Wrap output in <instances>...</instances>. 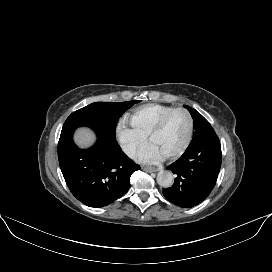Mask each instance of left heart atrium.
I'll return each mask as SVG.
<instances>
[{"mask_svg":"<svg viewBox=\"0 0 272 272\" xmlns=\"http://www.w3.org/2000/svg\"><path fill=\"white\" fill-rule=\"evenodd\" d=\"M163 153L151 141L146 145L139 155V160L144 163H156L162 159Z\"/></svg>","mask_w":272,"mask_h":272,"instance_id":"39dd6f15","label":"left heart atrium"}]
</instances>
